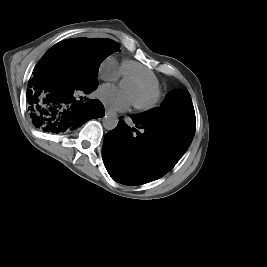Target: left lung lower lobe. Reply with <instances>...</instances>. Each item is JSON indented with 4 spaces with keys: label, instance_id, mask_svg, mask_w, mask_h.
<instances>
[{
    "label": "left lung lower lobe",
    "instance_id": "0a47b994",
    "mask_svg": "<svg viewBox=\"0 0 267 267\" xmlns=\"http://www.w3.org/2000/svg\"><path fill=\"white\" fill-rule=\"evenodd\" d=\"M130 117L141 132L120 119L104 138L102 156L115 181L138 185L156 180L171 170L193 137L176 128L146 124L133 115Z\"/></svg>",
    "mask_w": 267,
    "mask_h": 267
}]
</instances>
